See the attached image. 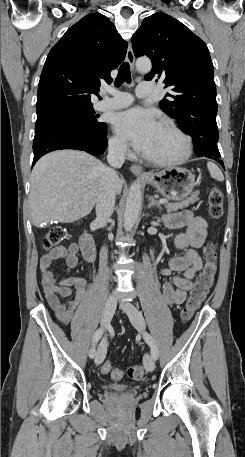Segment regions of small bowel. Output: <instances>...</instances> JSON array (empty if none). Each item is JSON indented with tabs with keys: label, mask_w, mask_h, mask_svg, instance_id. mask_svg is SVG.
Returning <instances> with one entry per match:
<instances>
[{
	"label": "small bowel",
	"mask_w": 245,
	"mask_h": 457,
	"mask_svg": "<svg viewBox=\"0 0 245 457\" xmlns=\"http://www.w3.org/2000/svg\"><path fill=\"white\" fill-rule=\"evenodd\" d=\"M163 220L169 229H184V232L175 237V246L185 252L180 256L172 257L168 265L160 269V275L163 277H169L173 272L181 273L174 276L172 281L164 282L162 287L164 301L169 305H180L184 303L187 292L193 287L192 279L202 268L198 250L205 242L207 223L204 218L194 216L188 210L168 214ZM78 250L79 246L72 243L68 247H56L45 254L40 260V278L45 298L55 316L61 323L71 325V336L74 342L81 349H86L88 336L83 329L73 324V316L84 298L89 283L79 277L57 281L51 270L57 260H63L70 269L75 268L78 263ZM68 297L72 298L62 300Z\"/></svg>",
	"instance_id": "small-bowel-1"
}]
</instances>
